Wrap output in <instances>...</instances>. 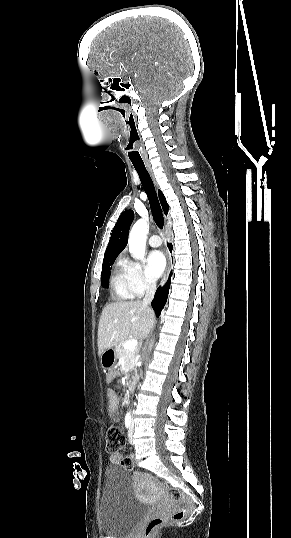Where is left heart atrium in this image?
Here are the masks:
<instances>
[{
    "label": "left heart atrium",
    "mask_w": 291,
    "mask_h": 538,
    "mask_svg": "<svg viewBox=\"0 0 291 538\" xmlns=\"http://www.w3.org/2000/svg\"><path fill=\"white\" fill-rule=\"evenodd\" d=\"M166 266V260L162 252L153 251L151 252L146 260V273L147 276L156 280L161 276Z\"/></svg>",
    "instance_id": "39dd6f15"
}]
</instances>
